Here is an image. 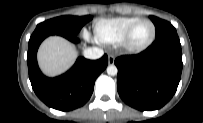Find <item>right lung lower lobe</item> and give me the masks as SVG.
<instances>
[{
	"instance_id": "1",
	"label": "right lung lower lobe",
	"mask_w": 203,
	"mask_h": 123,
	"mask_svg": "<svg viewBox=\"0 0 203 123\" xmlns=\"http://www.w3.org/2000/svg\"><path fill=\"white\" fill-rule=\"evenodd\" d=\"M49 35L52 34L34 31L29 40L27 63L32 88L40 100L51 108L61 111L76 109L90 99L95 80L107 67L108 57L104 55L99 60L79 57L74 66L65 74L48 78L38 67L37 50L41 42ZM65 38L74 43L79 42L76 36Z\"/></svg>"
}]
</instances>
